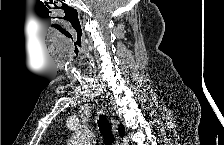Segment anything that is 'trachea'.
Masks as SVG:
<instances>
[{"label":"trachea","mask_w":224,"mask_h":145,"mask_svg":"<svg viewBox=\"0 0 224 145\" xmlns=\"http://www.w3.org/2000/svg\"><path fill=\"white\" fill-rule=\"evenodd\" d=\"M98 126L100 129V132L103 135L104 144L105 145H113L114 143V136L111 130L110 123L106 116L100 115L98 120Z\"/></svg>","instance_id":"3493384b"}]
</instances>
